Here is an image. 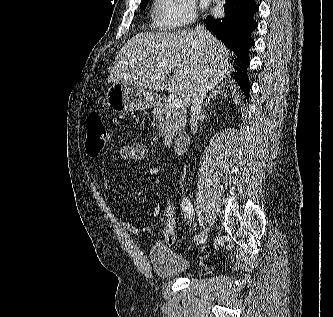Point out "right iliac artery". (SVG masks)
Returning a JSON list of instances; mask_svg holds the SVG:
<instances>
[{
	"mask_svg": "<svg viewBox=\"0 0 333 317\" xmlns=\"http://www.w3.org/2000/svg\"><path fill=\"white\" fill-rule=\"evenodd\" d=\"M182 210L186 218L191 219L193 216V208L191 202L188 198H184L181 204ZM199 239V235L194 236V240L197 241Z\"/></svg>",
	"mask_w": 333,
	"mask_h": 317,
	"instance_id": "82829eb1",
	"label": "right iliac artery"
}]
</instances>
